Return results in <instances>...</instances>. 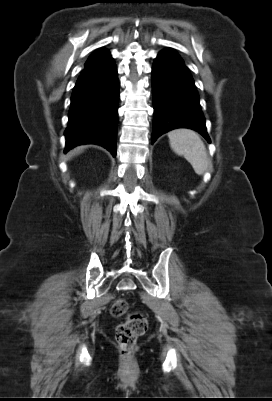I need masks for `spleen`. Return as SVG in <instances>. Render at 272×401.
I'll return each instance as SVG.
<instances>
[{
  "instance_id": "spleen-1",
  "label": "spleen",
  "mask_w": 272,
  "mask_h": 401,
  "mask_svg": "<svg viewBox=\"0 0 272 401\" xmlns=\"http://www.w3.org/2000/svg\"><path fill=\"white\" fill-rule=\"evenodd\" d=\"M172 150L183 156L198 175H203L208 168V156L205 145L199 135L189 129H177L168 133Z\"/></svg>"
}]
</instances>
